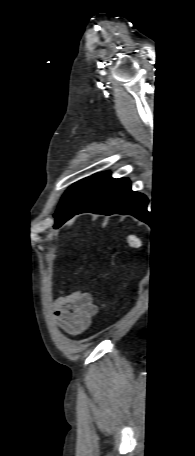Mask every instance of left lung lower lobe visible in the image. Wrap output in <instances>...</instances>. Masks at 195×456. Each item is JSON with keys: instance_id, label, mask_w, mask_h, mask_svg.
<instances>
[{"instance_id": "left-lung-lower-lobe-1", "label": "left lung lower lobe", "mask_w": 195, "mask_h": 456, "mask_svg": "<svg viewBox=\"0 0 195 456\" xmlns=\"http://www.w3.org/2000/svg\"><path fill=\"white\" fill-rule=\"evenodd\" d=\"M147 198L131 190L125 178H109L105 185L73 215L90 212L95 214H129L146 221ZM67 219V220H68Z\"/></svg>"}]
</instances>
